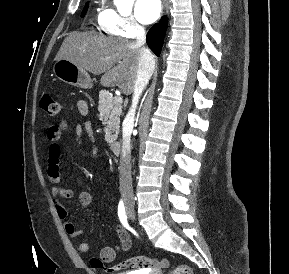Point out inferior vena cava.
<instances>
[{
    "instance_id": "1",
    "label": "inferior vena cava",
    "mask_w": 289,
    "mask_h": 274,
    "mask_svg": "<svg viewBox=\"0 0 289 274\" xmlns=\"http://www.w3.org/2000/svg\"><path fill=\"white\" fill-rule=\"evenodd\" d=\"M146 36L143 27L138 28L135 45L140 47V58L136 80L134 82V93L132 106L123 121L122 129V152L119 165V183L122 195L132 193V177H131V133L134 126L135 110L139 98L152 76L155 60L150 50L145 46Z\"/></svg>"
}]
</instances>
